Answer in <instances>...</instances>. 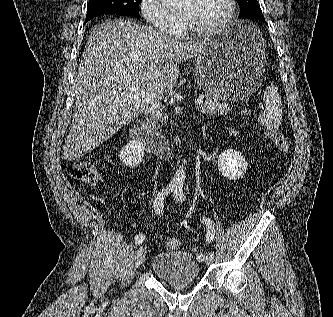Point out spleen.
Returning <instances> with one entry per match:
<instances>
[{
	"mask_svg": "<svg viewBox=\"0 0 333 317\" xmlns=\"http://www.w3.org/2000/svg\"><path fill=\"white\" fill-rule=\"evenodd\" d=\"M265 110L259 114V122L271 131H277L282 121V103L277 88L268 85L264 95Z\"/></svg>",
	"mask_w": 333,
	"mask_h": 317,
	"instance_id": "1",
	"label": "spleen"
}]
</instances>
